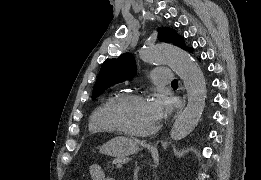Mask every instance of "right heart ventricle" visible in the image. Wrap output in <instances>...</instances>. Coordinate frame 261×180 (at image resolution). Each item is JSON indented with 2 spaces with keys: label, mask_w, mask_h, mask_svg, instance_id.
<instances>
[{
  "label": "right heart ventricle",
  "mask_w": 261,
  "mask_h": 180,
  "mask_svg": "<svg viewBox=\"0 0 261 180\" xmlns=\"http://www.w3.org/2000/svg\"><path fill=\"white\" fill-rule=\"evenodd\" d=\"M119 95L116 91L109 92L92 111L88 121V133H103V138H91L92 140L103 142L115 137L107 122L106 110Z\"/></svg>",
  "instance_id": "obj_1"
}]
</instances>
